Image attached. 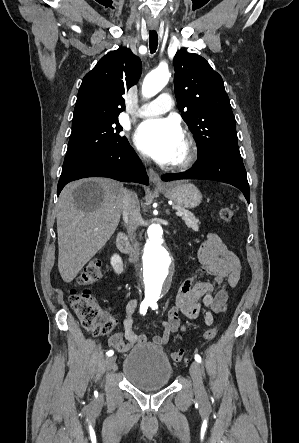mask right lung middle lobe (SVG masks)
<instances>
[{"label": "right lung middle lobe", "mask_w": 299, "mask_h": 443, "mask_svg": "<svg viewBox=\"0 0 299 443\" xmlns=\"http://www.w3.org/2000/svg\"><path fill=\"white\" fill-rule=\"evenodd\" d=\"M118 117L89 118L72 123L62 174L88 160L121 151L129 145L121 136Z\"/></svg>", "instance_id": "obj_1"}]
</instances>
